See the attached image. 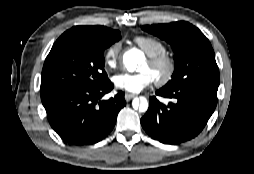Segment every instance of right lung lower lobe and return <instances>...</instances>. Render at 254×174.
<instances>
[{
	"mask_svg": "<svg viewBox=\"0 0 254 174\" xmlns=\"http://www.w3.org/2000/svg\"><path fill=\"white\" fill-rule=\"evenodd\" d=\"M112 89L113 84L108 79L96 87L67 89L41 96L51 127L73 145H91L102 140L112 131L118 112L126 105L123 92L102 100Z\"/></svg>",
	"mask_w": 254,
	"mask_h": 174,
	"instance_id": "98d812e1",
	"label": "right lung lower lobe"
}]
</instances>
